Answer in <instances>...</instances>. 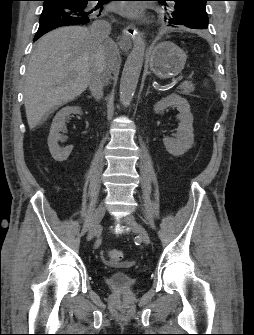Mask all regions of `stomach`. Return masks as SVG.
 Here are the masks:
<instances>
[{
	"instance_id": "0dacf381",
	"label": "stomach",
	"mask_w": 254,
	"mask_h": 335,
	"mask_svg": "<svg viewBox=\"0 0 254 335\" xmlns=\"http://www.w3.org/2000/svg\"><path fill=\"white\" fill-rule=\"evenodd\" d=\"M150 70L161 79L178 75L185 66L187 55L170 41L160 42L148 54Z\"/></svg>"
}]
</instances>
